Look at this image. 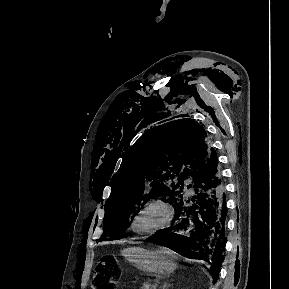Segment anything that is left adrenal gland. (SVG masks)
Instances as JSON below:
<instances>
[{"label": "left adrenal gland", "mask_w": 289, "mask_h": 289, "mask_svg": "<svg viewBox=\"0 0 289 289\" xmlns=\"http://www.w3.org/2000/svg\"><path fill=\"white\" fill-rule=\"evenodd\" d=\"M169 287H170V284H168L167 282H164L161 289H168Z\"/></svg>", "instance_id": "a2214340"}]
</instances>
